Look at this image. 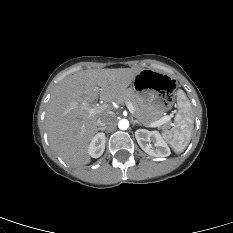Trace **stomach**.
Here are the masks:
<instances>
[{
  "instance_id": "obj_1",
  "label": "stomach",
  "mask_w": 233,
  "mask_h": 233,
  "mask_svg": "<svg viewBox=\"0 0 233 233\" xmlns=\"http://www.w3.org/2000/svg\"><path fill=\"white\" fill-rule=\"evenodd\" d=\"M132 91L161 113L172 111L180 92L178 82L156 70L143 69L133 80Z\"/></svg>"
}]
</instances>
